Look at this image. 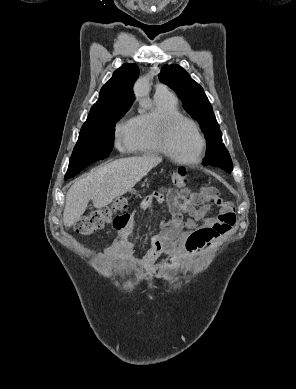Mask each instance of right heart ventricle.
<instances>
[{"instance_id": "e07e8e85", "label": "right heart ventricle", "mask_w": 296, "mask_h": 389, "mask_svg": "<svg viewBox=\"0 0 296 389\" xmlns=\"http://www.w3.org/2000/svg\"><path fill=\"white\" fill-rule=\"evenodd\" d=\"M180 113L176 97L170 93L155 94V108L134 116L129 121V151L143 155H161L158 142L160 121L168 115Z\"/></svg>"}]
</instances>
